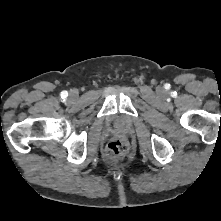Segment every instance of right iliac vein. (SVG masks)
<instances>
[{
    "instance_id": "1",
    "label": "right iliac vein",
    "mask_w": 221,
    "mask_h": 221,
    "mask_svg": "<svg viewBox=\"0 0 221 221\" xmlns=\"http://www.w3.org/2000/svg\"><path fill=\"white\" fill-rule=\"evenodd\" d=\"M76 96H77V94H76L75 92H72V93L70 94V97H71L72 99H74Z\"/></svg>"
}]
</instances>
